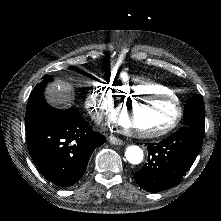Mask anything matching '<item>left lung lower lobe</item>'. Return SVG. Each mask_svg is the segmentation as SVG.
I'll list each match as a JSON object with an SVG mask.
<instances>
[{"mask_svg":"<svg viewBox=\"0 0 221 221\" xmlns=\"http://www.w3.org/2000/svg\"><path fill=\"white\" fill-rule=\"evenodd\" d=\"M204 132L185 126L159 143H148V162L133 175L148 192L177 185L200 152Z\"/></svg>","mask_w":221,"mask_h":221,"instance_id":"1","label":"left lung lower lobe"}]
</instances>
